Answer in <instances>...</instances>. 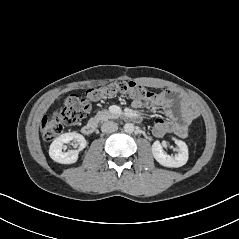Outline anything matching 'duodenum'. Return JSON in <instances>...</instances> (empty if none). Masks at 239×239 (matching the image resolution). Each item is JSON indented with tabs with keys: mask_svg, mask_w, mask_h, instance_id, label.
<instances>
[{
	"mask_svg": "<svg viewBox=\"0 0 239 239\" xmlns=\"http://www.w3.org/2000/svg\"><path fill=\"white\" fill-rule=\"evenodd\" d=\"M128 118L134 122L140 121V116L136 114L129 115ZM98 126V121L96 119L89 120L83 127L82 133L85 135H92Z\"/></svg>",
	"mask_w": 239,
	"mask_h": 239,
	"instance_id": "obj_1",
	"label": "duodenum"
}]
</instances>
